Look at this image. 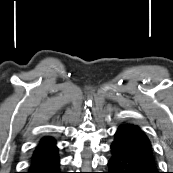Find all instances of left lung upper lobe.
<instances>
[{
  "label": "left lung upper lobe",
  "instance_id": "5c2ea615",
  "mask_svg": "<svg viewBox=\"0 0 173 173\" xmlns=\"http://www.w3.org/2000/svg\"><path fill=\"white\" fill-rule=\"evenodd\" d=\"M114 141L153 154L152 145L144 132L136 125H120Z\"/></svg>",
  "mask_w": 173,
  "mask_h": 173
}]
</instances>
